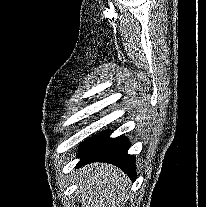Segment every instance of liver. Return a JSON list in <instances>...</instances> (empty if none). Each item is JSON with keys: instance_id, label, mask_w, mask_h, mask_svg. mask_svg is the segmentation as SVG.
<instances>
[{"instance_id": "1", "label": "liver", "mask_w": 206, "mask_h": 207, "mask_svg": "<svg viewBox=\"0 0 206 207\" xmlns=\"http://www.w3.org/2000/svg\"><path fill=\"white\" fill-rule=\"evenodd\" d=\"M78 201L84 207H120L128 197L129 178L119 168L92 163L76 177Z\"/></svg>"}]
</instances>
